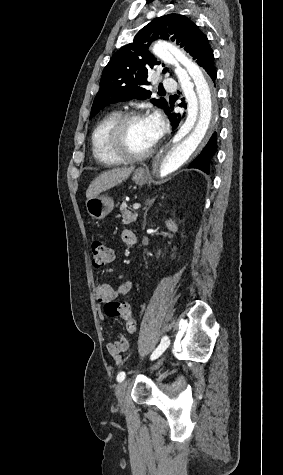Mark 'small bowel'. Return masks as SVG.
Returning a JSON list of instances; mask_svg holds the SVG:
<instances>
[{
  "instance_id": "c3829d8e",
  "label": "small bowel",
  "mask_w": 283,
  "mask_h": 475,
  "mask_svg": "<svg viewBox=\"0 0 283 475\" xmlns=\"http://www.w3.org/2000/svg\"><path fill=\"white\" fill-rule=\"evenodd\" d=\"M122 239L124 243L128 246H132L136 243V236L133 232L125 230L122 233ZM132 288V282L127 280L121 284L118 288H114L109 284L102 283L95 287L94 294L96 301L99 305L107 304L108 299L112 298L113 295H121L128 293ZM131 312V309H129ZM105 313L112 318H116V315H109L105 307ZM129 349V342L124 335H119L115 341L108 343L107 350L111 357L117 364H121L123 360V354Z\"/></svg>"
}]
</instances>
